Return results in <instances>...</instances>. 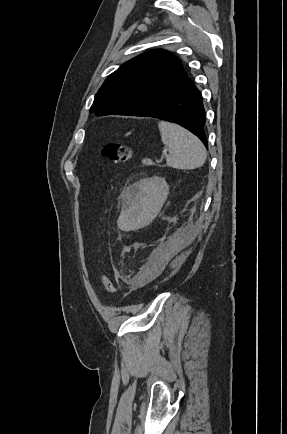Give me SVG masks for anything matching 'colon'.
Listing matches in <instances>:
<instances>
[{
  "mask_svg": "<svg viewBox=\"0 0 287 434\" xmlns=\"http://www.w3.org/2000/svg\"><path fill=\"white\" fill-rule=\"evenodd\" d=\"M103 153L109 159L123 163L130 161L132 156V151L129 146L117 142L107 144L103 149ZM102 286L104 291L108 294L115 292L113 280L106 274L102 278Z\"/></svg>",
  "mask_w": 287,
  "mask_h": 434,
  "instance_id": "colon-1",
  "label": "colon"
}]
</instances>
